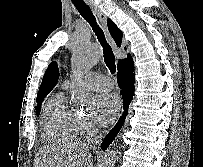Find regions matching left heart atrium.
<instances>
[{"instance_id":"obj_1","label":"left heart atrium","mask_w":203,"mask_h":167,"mask_svg":"<svg viewBox=\"0 0 203 167\" xmlns=\"http://www.w3.org/2000/svg\"><path fill=\"white\" fill-rule=\"evenodd\" d=\"M120 109L121 101L115 93L105 92L96 99L97 119L102 125L111 123L118 115Z\"/></svg>"}]
</instances>
